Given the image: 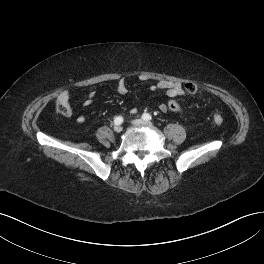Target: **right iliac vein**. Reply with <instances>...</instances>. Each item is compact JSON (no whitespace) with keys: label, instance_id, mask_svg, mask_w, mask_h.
Returning a JSON list of instances; mask_svg holds the SVG:
<instances>
[{"label":"right iliac vein","instance_id":"obj_1","mask_svg":"<svg viewBox=\"0 0 264 264\" xmlns=\"http://www.w3.org/2000/svg\"><path fill=\"white\" fill-rule=\"evenodd\" d=\"M114 131L117 133H120L122 131V127L121 126H115Z\"/></svg>","mask_w":264,"mask_h":264}]
</instances>
